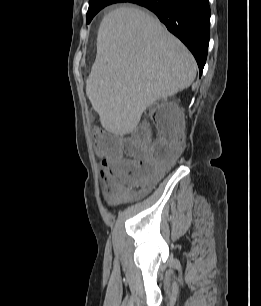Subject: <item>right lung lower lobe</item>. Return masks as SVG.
Instances as JSON below:
<instances>
[{"label": "right lung lower lobe", "mask_w": 261, "mask_h": 306, "mask_svg": "<svg viewBox=\"0 0 261 306\" xmlns=\"http://www.w3.org/2000/svg\"><path fill=\"white\" fill-rule=\"evenodd\" d=\"M154 12L167 29L194 55L200 73L206 62L210 37L208 0H129Z\"/></svg>", "instance_id": "1"}]
</instances>
